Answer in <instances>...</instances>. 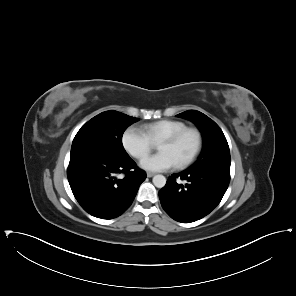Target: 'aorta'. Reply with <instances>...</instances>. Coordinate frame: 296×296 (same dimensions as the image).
Returning a JSON list of instances; mask_svg holds the SVG:
<instances>
[{"mask_svg": "<svg viewBox=\"0 0 296 296\" xmlns=\"http://www.w3.org/2000/svg\"><path fill=\"white\" fill-rule=\"evenodd\" d=\"M152 181L157 188H163L166 184V178L161 174L155 175Z\"/></svg>", "mask_w": 296, "mask_h": 296, "instance_id": "762f6f07", "label": "aorta"}]
</instances>
